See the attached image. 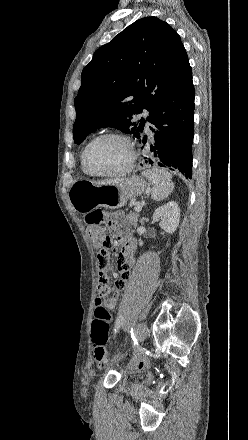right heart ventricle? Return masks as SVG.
Returning a JSON list of instances; mask_svg holds the SVG:
<instances>
[{"mask_svg":"<svg viewBox=\"0 0 248 440\" xmlns=\"http://www.w3.org/2000/svg\"><path fill=\"white\" fill-rule=\"evenodd\" d=\"M86 146H87V145H86ZM86 146L82 149V151H81V153H80V167H81V170H82V172H83L84 174L89 175L90 173H89V172L87 171V169L85 168L84 161H83V155H84V151H85Z\"/></svg>","mask_w":248,"mask_h":440,"instance_id":"e07e8e85","label":"right heart ventricle"}]
</instances>
